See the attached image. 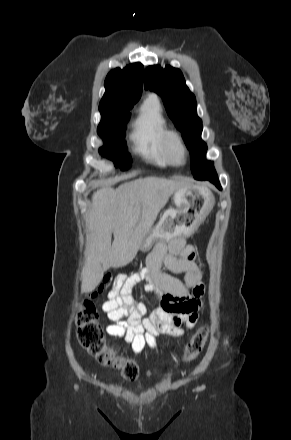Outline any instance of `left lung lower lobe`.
<instances>
[{"label": "left lung lower lobe", "mask_w": 291, "mask_h": 440, "mask_svg": "<svg viewBox=\"0 0 291 440\" xmlns=\"http://www.w3.org/2000/svg\"><path fill=\"white\" fill-rule=\"evenodd\" d=\"M205 180H208V181L214 183L219 189H221V186H220L219 179H218L217 175L211 176V177H206Z\"/></svg>", "instance_id": "obj_1"}]
</instances>
